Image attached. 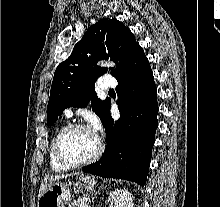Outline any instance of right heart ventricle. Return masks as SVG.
<instances>
[{
    "label": "right heart ventricle",
    "mask_w": 220,
    "mask_h": 207,
    "mask_svg": "<svg viewBox=\"0 0 220 207\" xmlns=\"http://www.w3.org/2000/svg\"><path fill=\"white\" fill-rule=\"evenodd\" d=\"M63 127H61L59 129V131L62 129ZM56 137V136H55ZM55 137L54 139L52 140L51 142V145H50V149H49V163H50V167L54 170V171H62V170H66L67 168L62 166L61 164H59L55 158V155H54V140H55Z\"/></svg>",
    "instance_id": "right-heart-ventricle-1"
}]
</instances>
